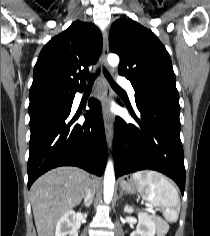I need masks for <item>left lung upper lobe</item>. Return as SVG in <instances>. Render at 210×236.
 <instances>
[{
    "label": "left lung upper lobe",
    "instance_id": "1",
    "mask_svg": "<svg viewBox=\"0 0 210 236\" xmlns=\"http://www.w3.org/2000/svg\"><path fill=\"white\" fill-rule=\"evenodd\" d=\"M109 47L119 55L118 73L131 81L135 99L179 101L170 56L151 30L132 19H119L110 29Z\"/></svg>",
    "mask_w": 210,
    "mask_h": 236
}]
</instances>
